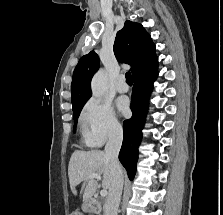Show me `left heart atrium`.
Instances as JSON below:
<instances>
[{
  "instance_id": "left-heart-atrium-1",
  "label": "left heart atrium",
  "mask_w": 223,
  "mask_h": 215,
  "mask_svg": "<svg viewBox=\"0 0 223 215\" xmlns=\"http://www.w3.org/2000/svg\"><path fill=\"white\" fill-rule=\"evenodd\" d=\"M117 106L119 107L120 110L125 111L127 108L126 101L122 98L117 100Z\"/></svg>"
}]
</instances>
